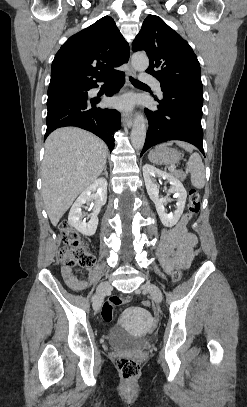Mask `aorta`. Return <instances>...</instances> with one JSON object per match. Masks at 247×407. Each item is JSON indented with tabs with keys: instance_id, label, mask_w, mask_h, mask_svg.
<instances>
[{
	"instance_id": "aorta-1",
	"label": "aorta",
	"mask_w": 247,
	"mask_h": 407,
	"mask_svg": "<svg viewBox=\"0 0 247 407\" xmlns=\"http://www.w3.org/2000/svg\"><path fill=\"white\" fill-rule=\"evenodd\" d=\"M132 67L136 71H145L149 66V59L145 53H134L131 59ZM146 138L145 118L142 114H137L131 131V143L135 149H142Z\"/></svg>"
}]
</instances>
